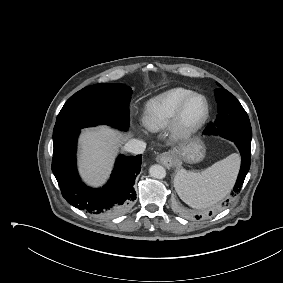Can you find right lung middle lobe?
Wrapping results in <instances>:
<instances>
[{"label":"right lung middle lobe","mask_w":283,"mask_h":283,"mask_svg":"<svg viewBox=\"0 0 283 283\" xmlns=\"http://www.w3.org/2000/svg\"><path fill=\"white\" fill-rule=\"evenodd\" d=\"M131 88L123 84H95L71 96L57 116L53 143L85 127L107 124L126 130L129 126Z\"/></svg>","instance_id":"1"}]
</instances>
